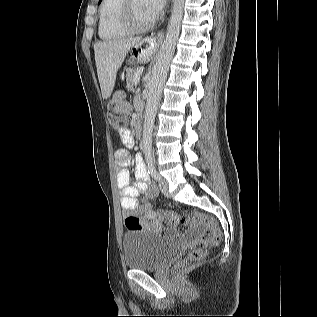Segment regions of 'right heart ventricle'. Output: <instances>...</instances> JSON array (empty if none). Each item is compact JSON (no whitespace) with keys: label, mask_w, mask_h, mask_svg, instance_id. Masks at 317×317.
I'll list each match as a JSON object with an SVG mask.
<instances>
[{"label":"right heart ventricle","mask_w":317,"mask_h":317,"mask_svg":"<svg viewBox=\"0 0 317 317\" xmlns=\"http://www.w3.org/2000/svg\"><path fill=\"white\" fill-rule=\"evenodd\" d=\"M122 0H102L99 8L98 34L104 41H114L129 34L119 22V7Z\"/></svg>","instance_id":"e07e8e85"}]
</instances>
